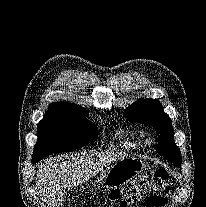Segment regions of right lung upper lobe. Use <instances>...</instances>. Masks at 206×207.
<instances>
[{"label":"right lung upper lobe","instance_id":"cb5924a9","mask_svg":"<svg viewBox=\"0 0 206 207\" xmlns=\"http://www.w3.org/2000/svg\"><path fill=\"white\" fill-rule=\"evenodd\" d=\"M49 108H59V109H68V110L86 112V110L84 108H82L78 105H75L73 103H68V102L51 103Z\"/></svg>","mask_w":206,"mask_h":207}]
</instances>
